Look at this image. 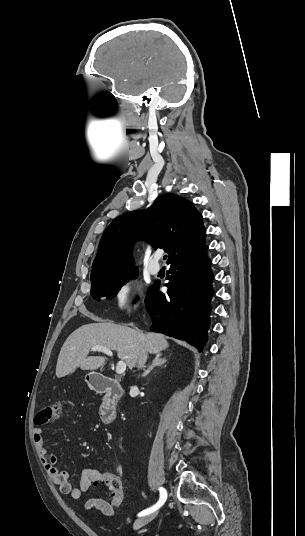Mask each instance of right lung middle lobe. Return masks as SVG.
Listing matches in <instances>:
<instances>
[{
    "label": "right lung middle lobe",
    "mask_w": 305,
    "mask_h": 536,
    "mask_svg": "<svg viewBox=\"0 0 305 536\" xmlns=\"http://www.w3.org/2000/svg\"><path fill=\"white\" fill-rule=\"evenodd\" d=\"M137 275L138 270H134L113 278L91 281L90 294L96 300H99L100 297L105 296L107 299H112L117 295L124 284H126L132 278H136Z\"/></svg>",
    "instance_id": "right-lung-middle-lobe-1"
}]
</instances>
